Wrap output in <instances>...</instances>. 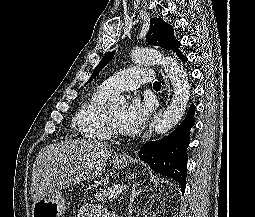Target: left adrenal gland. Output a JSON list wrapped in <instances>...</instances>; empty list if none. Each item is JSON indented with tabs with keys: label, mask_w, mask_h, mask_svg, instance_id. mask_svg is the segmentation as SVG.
<instances>
[{
	"label": "left adrenal gland",
	"mask_w": 255,
	"mask_h": 217,
	"mask_svg": "<svg viewBox=\"0 0 255 217\" xmlns=\"http://www.w3.org/2000/svg\"><path fill=\"white\" fill-rule=\"evenodd\" d=\"M138 186H139V184H137V183H135V184H133V186H132V190H131V194H130V199H129V206H128V211H129V216H131V214H132V202H133V200H134V198L136 197V196H138L139 194H140V192H141V190L142 189H139L138 190Z\"/></svg>",
	"instance_id": "left-adrenal-gland-1"
}]
</instances>
